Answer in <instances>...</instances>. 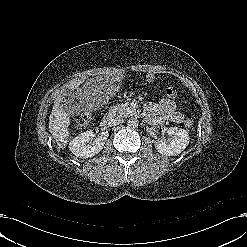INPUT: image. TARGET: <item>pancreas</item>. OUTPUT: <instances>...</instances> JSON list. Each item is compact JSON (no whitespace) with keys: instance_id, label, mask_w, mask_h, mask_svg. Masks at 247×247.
I'll list each match as a JSON object with an SVG mask.
<instances>
[{"instance_id":"pancreas-1","label":"pancreas","mask_w":247,"mask_h":247,"mask_svg":"<svg viewBox=\"0 0 247 247\" xmlns=\"http://www.w3.org/2000/svg\"><path fill=\"white\" fill-rule=\"evenodd\" d=\"M110 110L118 113L120 116H129L134 113V110H132L127 103L113 106Z\"/></svg>"}]
</instances>
